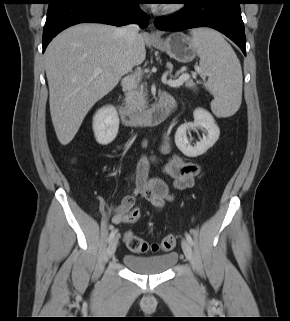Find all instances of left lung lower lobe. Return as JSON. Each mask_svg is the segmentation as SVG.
I'll list each match as a JSON object with an SVG mask.
<instances>
[{"mask_svg": "<svg viewBox=\"0 0 290 321\" xmlns=\"http://www.w3.org/2000/svg\"><path fill=\"white\" fill-rule=\"evenodd\" d=\"M181 3L186 7L178 14L155 20L158 29L181 31L210 27L230 38L246 55V37L240 10L242 0H182Z\"/></svg>", "mask_w": 290, "mask_h": 321, "instance_id": "left-lung-lower-lobe-1", "label": "left lung lower lobe"}]
</instances>
